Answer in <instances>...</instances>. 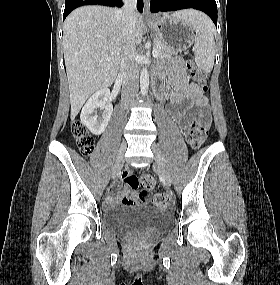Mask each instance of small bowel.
Segmentation results:
<instances>
[{"label":"small bowel","mask_w":280,"mask_h":285,"mask_svg":"<svg viewBox=\"0 0 280 285\" xmlns=\"http://www.w3.org/2000/svg\"><path fill=\"white\" fill-rule=\"evenodd\" d=\"M165 84L168 89V97L172 104H185L183 110L176 113L177 119H183L193 108H198V114L201 120H207L210 124V109L207 98L200 89L191 83L183 72H174L173 75L165 78ZM116 201H121L126 205L146 204L149 201L148 192H137L127 186H123L121 194L115 197L110 191L106 198L107 205H112Z\"/></svg>","instance_id":"1"}]
</instances>
